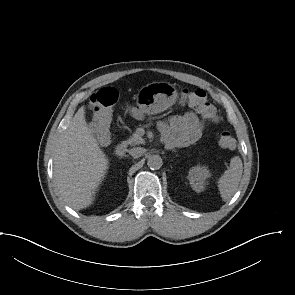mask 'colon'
Returning a JSON list of instances; mask_svg holds the SVG:
<instances>
[{
    "mask_svg": "<svg viewBox=\"0 0 295 295\" xmlns=\"http://www.w3.org/2000/svg\"><path fill=\"white\" fill-rule=\"evenodd\" d=\"M181 98L206 120L213 123L218 121L217 110L204 90L184 89L181 92ZM117 99L118 92L112 87H104L95 92L90 98V107L94 113L93 128L101 144L108 141V124L112 107ZM218 143L221 148L226 150H233L236 147V141L229 131L220 133Z\"/></svg>",
    "mask_w": 295,
    "mask_h": 295,
    "instance_id": "obj_1",
    "label": "colon"
}]
</instances>
